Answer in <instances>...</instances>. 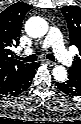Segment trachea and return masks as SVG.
Returning <instances> with one entry per match:
<instances>
[{"label":"trachea","instance_id":"1","mask_svg":"<svg viewBox=\"0 0 81 124\" xmlns=\"http://www.w3.org/2000/svg\"><path fill=\"white\" fill-rule=\"evenodd\" d=\"M46 58L51 60V61L55 60V57L50 53L46 55ZM21 59L24 60V61H27V62H35L37 60V55L32 54V55H29V56H27L25 58H21Z\"/></svg>","mask_w":81,"mask_h":124}]
</instances>
